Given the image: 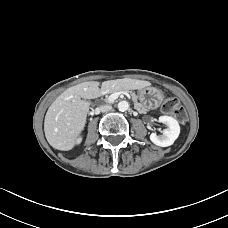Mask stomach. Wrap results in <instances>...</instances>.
I'll use <instances>...</instances> for the list:
<instances>
[{
    "label": "stomach",
    "mask_w": 228,
    "mask_h": 228,
    "mask_svg": "<svg viewBox=\"0 0 228 228\" xmlns=\"http://www.w3.org/2000/svg\"><path fill=\"white\" fill-rule=\"evenodd\" d=\"M138 99L143 107L154 109L162 103L164 94L154 87L147 86L139 90Z\"/></svg>",
    "instance_id": "0dacf381"
}]
</instances>
